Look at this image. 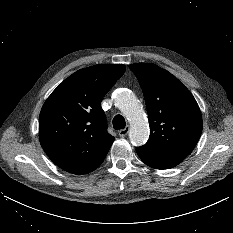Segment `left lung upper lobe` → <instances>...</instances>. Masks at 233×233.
Segmentation results:
<instances>
[{"mask_svg": "<svg viewBox=\"0 0 233 233\" xmlns=\"http://www.w3.org/2000/svg\"><path fill=\"white\" fill-rule=\"evenodd\" d=\"M144 93L150 136L142 146L152 152L185 158L202 133L199 106L171 73L151 63L131 64Z\"/></svg>", "mask_w": 233, "mask_h": 233, "instance_id": "obj_1", "label": "left lung upper lobe"}]
</instances>
